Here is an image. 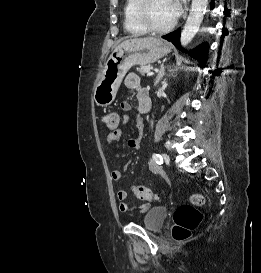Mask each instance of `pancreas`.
Wrapping results in <instances>:
<instances>
[{
    "instance_id": "obj_1",
    "label": "pancreas",
    "mask_w": 261,
    "mask_h": 273,
    "mask_svg": "<svg viewBox=\"0 0 261 273\" xmlns=\"http://www.w3.org/2000/svg\"><path fill=\"white\" fill-rule=\"evenodd\" d=\"M153 67L150 65H141L140 67L137 68V71L141 74V75H145L146 73H148L150 70H152Z\"/></svg>"
}]
</instances>
